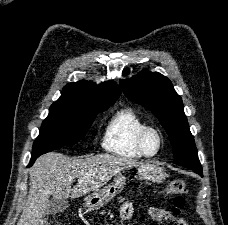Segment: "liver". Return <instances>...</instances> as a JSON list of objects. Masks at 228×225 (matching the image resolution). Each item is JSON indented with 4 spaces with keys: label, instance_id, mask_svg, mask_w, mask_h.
<instances>
[{
    "label": "liver",
    "instance_id": "obj_1",
    "mask_svg": "<svg viewBox=\"0 0 228 225\" xmlns=\"http://www.w3.org/2000/svg\"><path fill=\"white\" fill-rule=\"evenodd\" d=\"M139 165L126 157L113 155H95L77 161H71L61 153L42 155L29 169V195L17 225H50L44 219L50 209V195L56 199H79L101 189L119 171ZM73 179H78V183L72 189Z\"/></svg>",
    "mask_w": 228,
    "mask_h": 225
}]
</instances>
